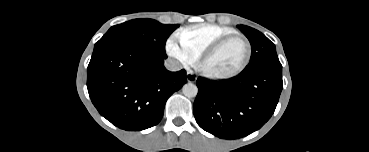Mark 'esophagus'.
<instances>
[{
    "mask_svg": "<svg viewBox=\"0 0 369 152\" xmlns=\"http://www.w3.org/2000/svg\"><path fill=\"white\" fill-rule=\"evenodd\" d=\"M186 78H187V81L188 82H195L197 80V77L196 75H194L193 73L191 72H187L186 74Z\"/></svg>",
    "mask_w": 369,
    "mask_h": 152,
    "instance_id": "1",
    "label": "esophagus"
}]
</instances>
